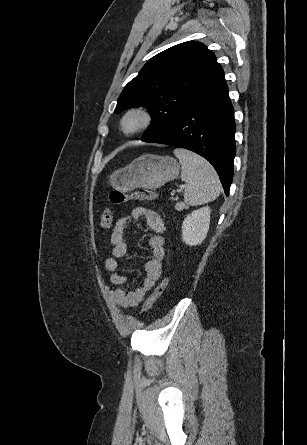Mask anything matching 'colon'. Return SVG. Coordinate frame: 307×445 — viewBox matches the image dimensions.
<instances>
[{
	"mask_svg": "<svg viewBox=\"0 0 307 445\" xmlns=\"http://www.w3.org/2000/svg\"><path fill=\"white\" fill-rule=\"evenodd\" d=\"M156 198V195L152 191L148 190H136L132 191L130 193H125L121 190H113L110 193L109 199L111 206L107 208L101 215L100 218V226L103 229H107L111 226L113 220H114V207L122 204L123 202L132 199V200H154ZM168 284V279L164 278L154 289V291L151 293V295L146 299L144 302V305L142 307V312H147L153 304L160 298V296L163 294L164 290L166 289Z\"/></svg>",
	"mask_w": 307,
	"mask_h": 445,
	"instance_id": "colon-1",
	"label": "colon"
}]
</instances>
